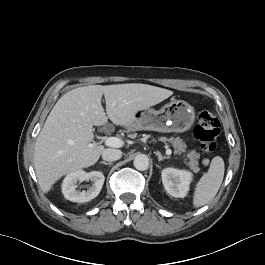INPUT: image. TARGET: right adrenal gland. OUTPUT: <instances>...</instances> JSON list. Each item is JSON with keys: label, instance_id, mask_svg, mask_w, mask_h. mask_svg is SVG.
<instances>
[{"label": "right adrenal gland", "instance_id": "1", "mask_svg": "<svg viewBox=\"0 0 265 265\" xmlns=\"http://www.w3.org/2000/svg\"><path fill=\"white\" fill-rule=\"evenodd\" d=\"M101 164H104V165H111L112 163L111 162H105V161H100Z\"/></svg>", "mask_w": 265, "mask_h": 265}]
</instances>
